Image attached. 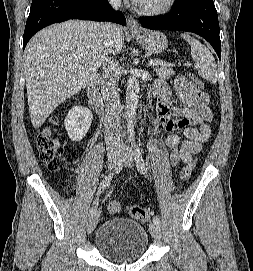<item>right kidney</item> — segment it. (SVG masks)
<instances>
[{"label": "right kidney", "instance_id": "ca27d5eb", "mask_svg": "<svg viewBox=\"0 0 253 271\" xmlns=\"http://www.w3.org/2000/svg\"><path fill=\"white\" fill-rule=\"evenodd\" d=\"M93 119L92 112L85 107L74 106L64 120V126L72 141L78 142L87 134Z\"/></svg>", "mask_w": 253, "mask_h": 271}]
</instances>
